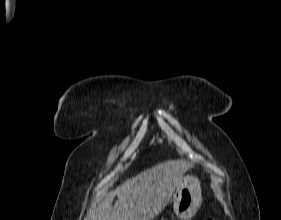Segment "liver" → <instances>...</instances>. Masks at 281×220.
<instances>
[{
  "mask_svg": "<svg viewBox=\"0 0 281 220\" xmlns=\"http://www.w3.org/2000/svg\"><path fill=\"white\" fill-rule=\"evenodd\" d=\"M190 167L184 160H169L126 180L109 192L91 220H152L164 210Z\"/></svg>",
  "mask_w": 281,
  "mask_h": 220,
  "instance_id": "6515ba94",
  "label": "liver"
}]
</instances>
